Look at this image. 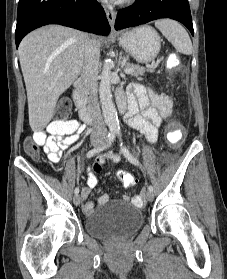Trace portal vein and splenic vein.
Wrapping results in <instances>:
<instances>
[{
	"instance_id": "portal-vein-and-splenic-vein-1",
	"label": "portal vein and splenic vein",
	"mask_w": 227,
	"mask_h": 279,
	"mask_svg": "<svg viewBox=\"0 0 227 279\" xmlns=\"http://www.w3.org/2000/svg\"><path fill=\"white\" fill-rule=\"evenodd\" d=\"M133 70H134L133 68H125V73L126 74H131L133 72Z\"/></svg>"
}]
</instances>
